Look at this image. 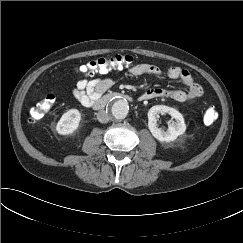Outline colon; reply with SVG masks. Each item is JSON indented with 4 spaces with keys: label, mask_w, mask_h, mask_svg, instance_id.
Masks as SVG:
<instances>
[{
    "label": "colon",
    "mask_w": 243,
    "mask_h": 243,
    "mask_svg": "<svg viewBox=\"0 0 243 243\" xmlns=\"http://www.w3.org/2000/svg\"><path fill=\"white\" fill-rule=\"evenodd\" d=\"M133 57L126 54H116L111 57H99L82 65L78 71L85 76H93L97 73H106L112 68L128 66L133 62ZM55 95L49 93L30 111L32 121L40 120L55 103ZM218 114L213 107H209L204 112V122L207 125L213 124L217 120Z\"/></svg>",
    "instance_id": "5ec220e1"
}]
</instances>
